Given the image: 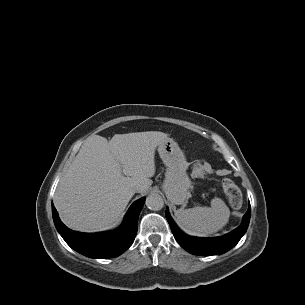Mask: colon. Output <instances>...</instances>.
I'll return each mask as SVG.
<instances>
[{
    "mask_svg": "<svg viewBox=\"0 0 305 305\" xmlns=\"http://www.w3.org/2000/svg\"><path fill=\"white\" fill-rule=\"evenodd\" d=\"M222 188L231 206L239 207L242 204V194L232 179L225 177L222 180Z\"/></svg>",
    "mask_w": 305,
    "mask_h": 305,
    "instance_id": "1",
    "label": "colon"
}]
</instances>
